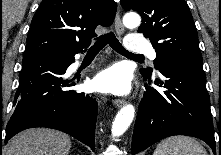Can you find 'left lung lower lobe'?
I'll list each match as a JSON object with an SVG mask.
<instances>
[{
  "mask_svg": "<svg viewBox=\"0 0 221 155\" xmlns=\"http://www.w3.org/2000/svg\"><path fill=\"white\" fill-rule=\"evenodd\" d=\"M165 80L146 86L132 138V155L173 135H190L205 141L216 154L210 98L201 61L169 59L159 66ZM151 82V74L141 72ZM221 154V153H220Z\"/></svg>",
  "mask_w": 221,
  "mask_h": 155,
  "instance_id": "left-lung-lower-lobe-1",
  "label": "left lung lower lobe"
}]
</instances>
